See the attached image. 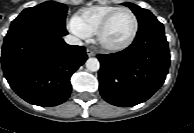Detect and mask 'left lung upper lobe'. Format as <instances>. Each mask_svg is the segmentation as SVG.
I'll return each mask as SVG.
<instances>
[{
    "label": "left lung upper lobe",
    "instance_id": "5c2ea615",
    "mask_svg": "<svg viewBox=\"0 0 194 133\" xmlns=\"http://www.w3.org/2000/svg\"><path fill=\"white\" fill-rule=\"evenodd\" d=\"M123 5L129 7L133 11V13L136 15L138 19V23H139V28L147 24L158 21L156 17L147 9L140 8L139 6L133 3H124Z\"/></svg>",
    "mask_w": 194,
    "mask_h": 133
}]
</instances>
